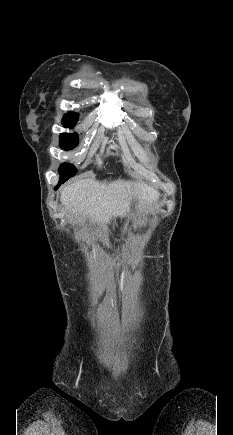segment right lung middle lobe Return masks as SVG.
Segmentation results:
<instances>
[{
    "mask_svg": "<svg viewBox=\"0 0 233 435\" xmlns=\"http://www.w3.org/2000/svg\"><path fill=\"white\" fill-rule=\"evenodd\" d=\"M78 119L63 123L66 127H73ZM79 143V137L77 134L62 133L60 135V147L64 150H71L75 148ZM77 170L72 164L64 163L59 168L60 180L59 183H64L70 177L76 174Z\"/></svg>",
    "mask_w": 233,
    "mask_h": 435,
    "instance_id": "right-lung-middle-lobe-1",
    "label": "right lung middle lobe"
}]
</instances>
